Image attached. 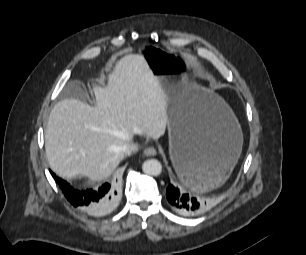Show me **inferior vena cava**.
<instances>
[{
  "label": "inferior vena cava",
  "instance_id": "inferior-vena-cava-1",
  "mask_svg": "<svg viewBox=\"0 0 306 255\" xmlns=\"http://www.w3.org/2000/svg\"><path fill=\"white\" fill-rule=\"evenodd\" d=\"M120 150L125 155H130L133 152H136L138 150V145L133 143V142H129V143H126L123 146H121Z\"/></svg>",
  "mask_w": 306,
  "mask_h": 255
}]
</instances>
